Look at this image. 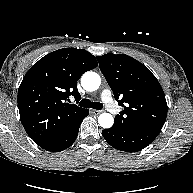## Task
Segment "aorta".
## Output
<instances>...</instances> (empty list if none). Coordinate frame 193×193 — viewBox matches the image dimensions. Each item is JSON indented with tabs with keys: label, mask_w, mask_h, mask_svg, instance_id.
Wrapping results in <instances>:
<instances>
[{
	"label": "aorta",
	"mask_w": 193,
	"mask_h": 193,
	"mask_svg": "<svg viewBox=\"0 0 193 193\" xmlns=\"http://www.w3.org/2000/svg\"><path fill=\"white\" fill-rule=\"evenodd\" d=\"M100 84L101 78L96 72L89 71L81 77V85L86 91H95ZM98 123L104 129L111 128L114 123L113 116L110 113H102L98 117Z\"/></svg>",
	"instance_id": "obj_1"
}]
</instances>
